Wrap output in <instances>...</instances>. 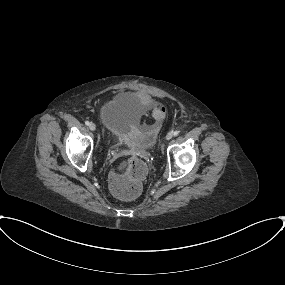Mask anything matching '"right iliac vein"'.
I'll list each match as a JSON object with an SVG mask.
<instances>
[{
  "label": "right iliac vein",
  "mask_w": 285,
  "mask_h": 285,
  "mask_svg": "<svg viewBox=\"0 0 285 285\" xmlns=\"http://www.w3.org/2000/svg\"><path fill=\"white\" fill-rule=\"evenodd\" d=\"M89 128H90L91 131H95V130H96V125H95V123H94V122H91V123L89 124Z\"/></svg>",
  "instance_id": "63e3f726"
}]
</instances>
